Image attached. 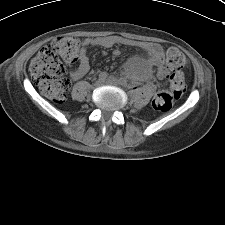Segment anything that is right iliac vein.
I'll return each mask as SVG.
<instances>
[{"label":"right iliac vein","mask_w":225,"mask_h":225,"mask_svg":"<svg viewBox=\"0 0 225 225\" xmlns=\"http://www.w3.org/2000/svg\"><path fill=\"white\" fill-rule=\"evenodd\" d=\"M104 83V81L103 80H101V79H98L96 82H95V86H101L102 84Z\"/></svg>","instance_id":"right-iliac-vein-1"}]
</instances>
